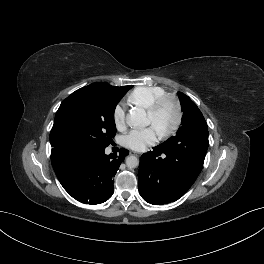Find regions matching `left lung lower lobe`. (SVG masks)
<instances>
[{
	"label": "left lung lower lobe",
	"mask_w": 264,
	"mask_h": 264,
	"mask_svg": "<svg viewBox=\"0 0 264 264\" xmlns=\"http://www.w3.org/2000/svg\"><path fill=\"white\" fill-rule=\"evenodd\" d=\"M208 145V135H202L180 146L158 145L143 154L138 171L141 197L153 205L179 199L198 177Z\"/></svg>",
	"instance_id": "0a47b994"
}]
</instances>
